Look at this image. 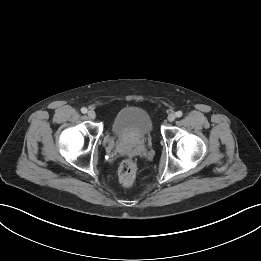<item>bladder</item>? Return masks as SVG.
<instances>
[{
  "label": "bladder",
  "mask_w": 261,
  "mask_h": 261,
  "mask_svg": "<svg viewBox=\"0 0 261 261\" xmlns=\"http://www.w3.org/2000/svg\"><path fill=\"white\" fill-rule=\"evenodd\" d=\"M153 121L150 114L140 107H124L111 123V132L120 138H143L151 134Z\"/></svg>",
  "instance_id": "1"
}]
</instances>
